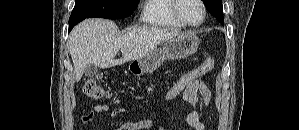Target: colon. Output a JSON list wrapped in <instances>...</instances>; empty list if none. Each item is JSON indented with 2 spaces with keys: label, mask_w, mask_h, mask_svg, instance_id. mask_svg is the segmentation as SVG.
I'll use <instances>...</instances> for the list:
<instances>
[{
  "label": "colon",
  "mask_w": 299,
  "mask_h": 130,
  "mask_svg": "<svg viewBox=\"0 0 299 130\" xmlns=\"http://www.w3.org/2000/svg\"><path fill=\"white\" fill-rule=\"evenodd\" d=\"M214 65L215 59L210 57L200 66L180 75L164 94V100L172 101L183 94L188 87L201 82L202 77L210 72L214 68ZM99 80L100 77L89 78L84 82L82 87L83 93L93 100H100L108 96V93L104 90Z\"/></svg>",
  "instance_id": "obj_1"
}]
</instances>
